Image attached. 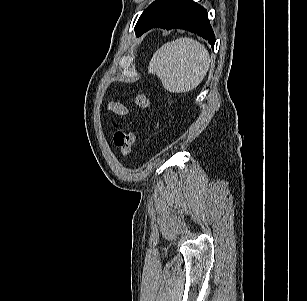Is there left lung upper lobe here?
<instances>
[{"label": "left lung upper lobe", "mask_w": 307, "mask_h": 301, "mask_svg": "<svg viewBox=\"0 0 307 301\" xmlns=\"http://www.w3.org/2000/svg\"><path fill=\"white\" fill-rule=\"evenodd\" d=\"M179 0H155L140 16L136 24V33L141 35L148 27L159 22Z\"/></svg>", "instance_id": "1"}]
</instances>
